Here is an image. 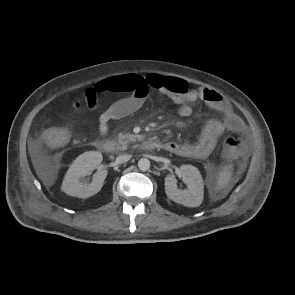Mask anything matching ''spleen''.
I'll return each instance as SVG.
<instances>
[{"label":"spleen","instance_id":"1","mask_svg":"<svg viewBox=\"0 0 295 295\" xmlns=\"http://www.w3.org/2000/svg\"><path fill=\"white\" fill-rule=\"evenodd\" d=\"M232 175L231 167H225L219 174L217 178V187L216 189L219 190L223 187H225L228 182L230 181Z\"/></svg>","mask_w":295,"mask_h":295}]
</instances>
